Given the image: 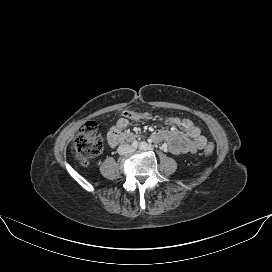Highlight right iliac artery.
I'll use <instances>...</instances> for the list:
<instances>
[{
  "label": "right iliac artery",
  "instance_id": "82829eb1",
  "mask_svg": "<svg viewBox=\"0 0 272 272\" xmlns=\"http://www.w3.org/2000/svg\"><path fill=\"white\" fill-rule=\"evenodd\" d=\"M132 145H133V147L137 148L139 143L137 141H134Z\"/></svg>",
  "mask_w": 272,
  "mask_h": 272
}]
</instances>
